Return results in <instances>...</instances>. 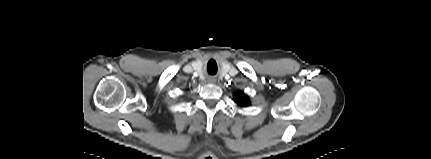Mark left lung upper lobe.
<instances>
[{
  "label": "left lung upper lobe",
  "instance_id": "1",
  "mask_svg": "<svg viewBox=\"0 0 431 159\" xmlns=\"http://www.w3.org/2000/svg\"><path fill=\"white\" fill-rule=\"evenodd\" d=\"M235 101L242 106H246L249 104L247 97L242 92H238L235 94Z\"/></svg>",
  "mask_w": 431,
  "mask_h": 159
}]
</instances>
